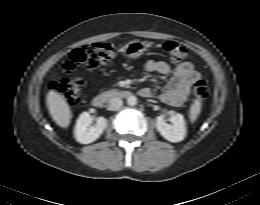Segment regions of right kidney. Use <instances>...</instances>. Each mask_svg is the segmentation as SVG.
Here are the masks:
<instances>
[{
	"label": "right kidney",
	"instance_id": "ca27d5eb",
	"mask_svg": "<svg viewBox=\"0 0 260 205\" xmlns=\"http://www.w3.org/2000/svg\"><path fill=\"white\" fill-rule=\"evenodd\" d=\"M93 117L88 112H83L75 126V138L82 144H89L97 140L107 126L104 117H99L95 126H91Z\"/></svg>",
	"mask_w": 260,
	"mask_h": 205
}]
</instances>
